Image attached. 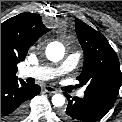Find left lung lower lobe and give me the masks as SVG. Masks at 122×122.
<instances>
[{
  "label": "left lung lower lobe",
  "mask_w": 122,
  "mask_h": 122,
  "mask_svg": "<svg viewBox=\"0 0 122 122\" xmlns=\"http://www.w3.org/2000/svg\"><path fill=\"white\" fill-rule=\"evenodd\" d=\"M68 99V106L61 112V117L65 122H95L100 120L113 106L105 99L84 94L83 98L76 97Z\"/></svg>",
  "instance_id": "1"
}]
</instances>
